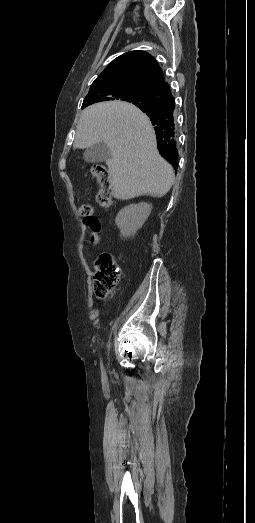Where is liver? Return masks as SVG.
Here are the masks:
<instances>
[{"label": "liver", "mask_w": 255, "mask_h": 523, "mask_svg": "<svg viewBox=\"0 0 255 523\" xmlns=\"http://www.w3.org/2000/svg\"><path fill=\"white\" fill-rule=\"evenodd\" d=\"M98 142H105L111 152L106 164L114 198L130 200L143 194L162 198L169 192L173 168L161 158L153 126L139 108L115 100L83 110L73 148L82 150Z\"/></svg>", "instance_id": "liver-1"}]
</instances>
